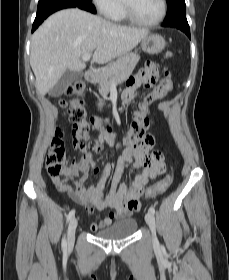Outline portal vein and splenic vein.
Returning <instances> with one entry per match:
<instances>
[{
  "instance_id": "1",
  "label": "portal vein and splenic vein",
  "mask_w": 229,
  "mask_h": 280,
  "mask_svg": "<svg viewBox=\"0 0 229 280\" xmlns=\"http://www.w3.org/2000/svg\"><path fill=\"white\" fill-rule=\"evenodd\" d=\"M91 57V53H87V54H84L82 55V60L83 61H88Z\"/></svg>"
}]
</instances>
